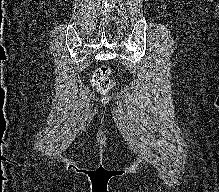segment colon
I'll list each match as a JSON object with an SVG mask.
<instances>
[{"mask_svg":"<svg viewBox=\"0 0 219 192\" xmlns=\"http://www.w3.org/2000/svg\"><path fill=\"white\" fill-rule=\"evenodd\" d=\"M93 81L97 90L103 94L109 93L116 88V83L110 78V68L101 66L93 74Z\"/></svg>","mask_w":219,"mask_h":192,"instance_id":"1","label":"colon"}]
</instances>
